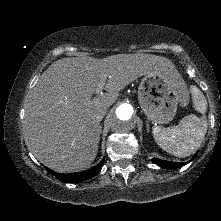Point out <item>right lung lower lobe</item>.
<instances>
[{
	"instance_id": "1",
	"label": "right lung lower lobe",
	"mask_w": 221,
	"mask_h": 221,
	"mask_svg": "<svg viewBox=\"0 0 221 221\" xmlns=\"http://www.w3.org/2000/svg\"><path fill=\"white\" fill-rule=\"evenodd\" d=\"M104 159L95 167L86 170L84 172L72 173V174H60L46 168L52 175L58 180L67 183H79L94 177L102 168Z\"/></svg>"
}]
</instances>
